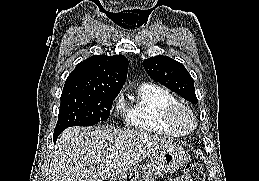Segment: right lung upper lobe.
Wrapping results in <instances>:
<instances>
[{
  "mask_svg": "<svg viewBox=\"0 0 259 181\" xmlns=\"http://www.w3.org/2000/svg\"><path fill=\"white\" fill-rule=\"evenodd\" d=\"M123 55H94L79 63L66 79L63 91L118 94L127 78Z\"/></svg>",
  "mask_w": 259,
  "mask_h": 181,
  "instance_id": "obj_1",
  "label": "right lung upper lobe"
}]
</instances>
